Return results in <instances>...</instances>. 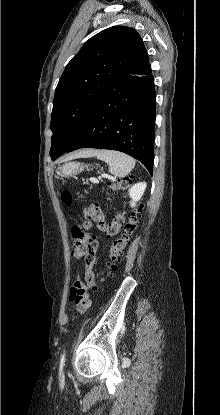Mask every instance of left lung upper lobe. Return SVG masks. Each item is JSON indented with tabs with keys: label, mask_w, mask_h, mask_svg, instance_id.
<instances>
[{
	"label": "left lung upper lobe",
	"mask_w": 220,
	"mask_h": 415,
	"mask_svg": "<svg viewBox=\"0 0 220 415\" xmlns=\"http://www.w3.org/2000/svg\"><path fill=\"white\" fill-rule=\"evenodd\" d=\"M148 63L143 41L132 28L113 26L86 41L67 64L55 90L51 156L61 155L72 145L117 78L135 74Z\"/></svg>",
	"instance_id": "1"
}]
</instances>
